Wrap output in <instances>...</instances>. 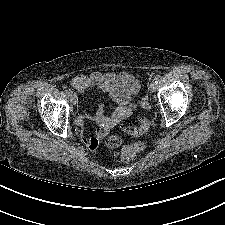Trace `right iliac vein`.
<instances>
[{"label":"right iliac vein","instance_id":"right-iliac-vein-1","mask_svg":"<svg viewBox=\"0 0 225 225\" xmlns=\"http://www.w3.org/2000/svg\"><path fill=\"white\" fill-rule=\"evenodd\" d=\"M70 101L73 105H76L78 103V97L75 93H72V95L70 96Z\"/></svg>","mask_w":225,"mask_h":225}]
</instances>
